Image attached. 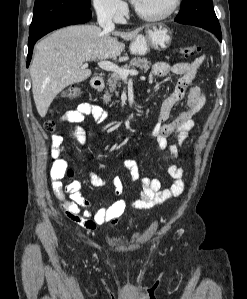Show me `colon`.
Returning a JSON list of instances; mask_svg holds the SVG:
<instances>
[{"label": "colon", "mask_w": 247, "mask_h": 299, "mask_svg": "<svg viewBox=\"0 0 247 299\" xmlns=\"http://www.w3.org/2000/svg\"><path fill=\"white\" fill-rule=\"evenodd\" d=\"M199 51V47L196 45L186 46L179 50V53L184 57H190L195 55ZM81 89L78 86H70L63 92V97L68 99H74L80 96ZM44 128L47 132H54L56 125L52 119L47 120L44 123Z\"/></svg>", "instance_id": "1"}]
</instances>
